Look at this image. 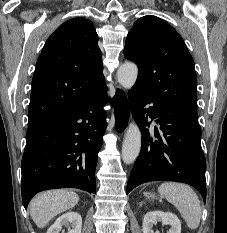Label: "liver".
Wrapping results in <instances>:
<instances>
[{
	"label": "liver",
	"instance_id": "6515ba94",
	"mask_svg": "<svg viewBox=\"0 0 227 233\" xmlns=\"http://www.w3.org/2000/svg\"><path fill=\"white\" fill-rule=\"evenodd\" d=\"M78 195L69 190H49L35 196L30 202V215L39 228L45 227L58 214L73 208Z\"/></svg>",
	"mask_w": 227,
	"mask_h": 233
}]
</instances>
